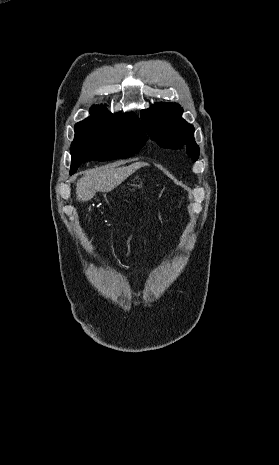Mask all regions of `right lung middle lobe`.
Returning a JSON list of instances; mask_svg holds the SVG:
<instances>
[{
	"instance_id": "right-lung-middle-lobe-1",
	"label": "right lung middle lobe",
	"mask_w": 279,
	"mask_h": 465,
	"mask_svg": "<svg viewBox=\"0 0 279 465\" xmlns=\"http://www.w3.org/2000/svg\"><path fill=\"white\" fill-rule=\"evenodd\" d=\"M147 139L140 128L128 125H97L75 130L70 175L89 160L106 161L133 156Z\"/></svg>"
}]
</instances>
